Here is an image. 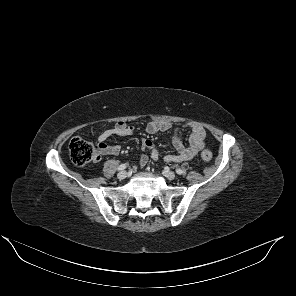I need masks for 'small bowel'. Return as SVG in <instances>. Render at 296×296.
I'll return each instance as SVG.
<instances>
[{"label":"small bowel","mask_w":296,"mask_h":296,"mask_svg":"<svg viewBox=\"0 0 296 296\" xmlns=\"http://www.w3.org/2000/svg\"><path fill=\"white\" fill-rule=\"evenodd\" d=\"M190 135L189 144L185 145L182 141L179 130H176L172 138V144L175 148L177 154L164 156L165 162H183L192 159L198 152L205 148V130L199 124H189ZM171 128L170 123L166 121H150L147 124L146 130L150 134H155L158 132H164ZM134 127L128 125L125 122H118L113 128L103 131L98 137V153L99 155H118L121 152V146L119 144H106V140L114 135L117 136H129L134 133ZM142 149L144 152L148 153L149 156L144 153L141 155L139 164L132 166L133 170H137L139 167H146L149 159L157 161L159 159V152L155 148L153 141L150 139L142 140ZM100 159L98 156L97 160Z\"/></svg>","instance_id":"c3829d8e"}]
</instances>
